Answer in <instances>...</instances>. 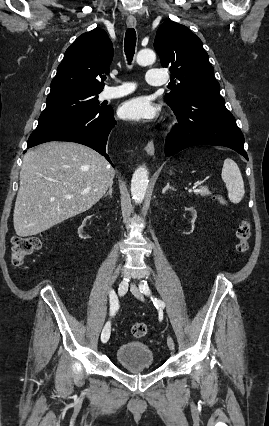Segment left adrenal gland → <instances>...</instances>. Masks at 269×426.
Here are the masks:
<instances>
[{
	"instance_id": "a2214340",
	"label": "left adrenal gland",
	"mask_w": 269,
	"mask_h": 426,
	"mask_svg": "<svg viewBox=\"0 0 269 426\" xmlns=\"http://www.w3.org/2000/svg\"><path fill=\"white\" fill-rule=\"evenodd\" d=\"M169 189L175 191V189L170 186V183L168 182L167 185L163 188L162 193H165Z\"/></svg>"
}]
</instances>
